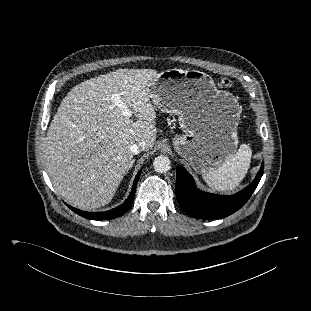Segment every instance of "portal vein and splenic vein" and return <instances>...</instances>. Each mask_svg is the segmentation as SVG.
<instances>
[{
    "mask_svg": "<svg viewBox=\"0 0 311 311\" xmlns=\"http://www.w3.org/2000/svg\"><path fill=\"white\" fill-rule=\"evenodd\" d=\"M112 101L114 102L115 106L121 109L122 113L126 117H131L132 112L129 109L128 105L121 99L120 94H113L111 97Z\"/></svg>",
    "mask_w": 311,
    "mask_h": 311,
    "instance_id": "obj_1",
    "label": "portal vein and splenic vein"
}]
</instances>
